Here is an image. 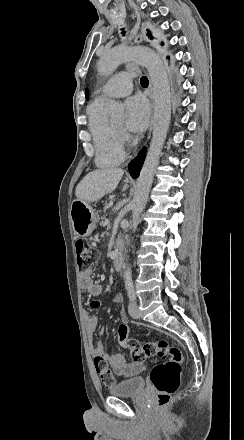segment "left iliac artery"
<instances>
[{"label":"left iliac artery","mask_w":244,"mask_h":440,"mask_svg":"<svg viewBox=\"0 0 244 440\" xmlns=\"http://www.w3.org/2000/svg\"><path fill=\"white\" fill-rule=\"evenodd\" d=\"M127 293H128V298L130 301H135L136 299V295H135V290L133 285H128L127 286Z\"/></svg>","instance_id":"1"}]
</instances>
